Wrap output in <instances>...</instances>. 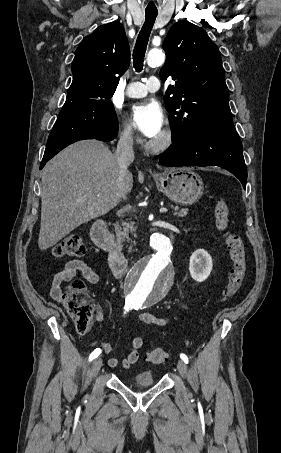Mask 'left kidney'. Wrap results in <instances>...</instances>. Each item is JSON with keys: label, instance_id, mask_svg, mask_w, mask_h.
Returning <instances> with one entry per match:
<instances>
[{"label": "left kidney", "instance_id": "5707ae66", "mask_svg": "<svg viewBox=\"0 0 281 453\" xmlns=\"http://www.w3.org/2000/svg\"><path fill=\"white\" fill-rule=\"evenodd\" d=\"M212 259L204 249H197L190 257L189 271L192 279L202 283L206 281L212 271Z\"/></svg>", "mask_w": 281, "mask_h": 453}]
</instances>
